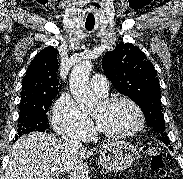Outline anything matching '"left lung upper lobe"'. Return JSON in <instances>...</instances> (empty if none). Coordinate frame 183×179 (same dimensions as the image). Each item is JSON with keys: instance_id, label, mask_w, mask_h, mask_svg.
Here are the masks:
<instances>
[{"instance_id": "5c2ea615", "label": "left lung upper lobe", "mask_w": 183, "mask_h": 179, "mask_svg": "<svg viewBox=\"0 0 183 179\" xmlns=\"http://www.w3.org/2000/svg\"><path fill=\"white\" fill-rule=\"evenodd\" d=\"M102 67L114 87L139 105L148 126L161 135L160 141L168 145L159 80L145 54L130 43H120L104 55Z\"/></svg>"}]
</instances>
